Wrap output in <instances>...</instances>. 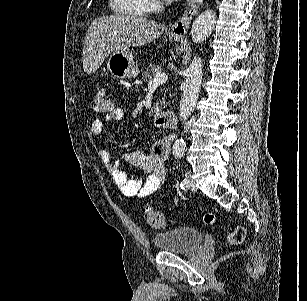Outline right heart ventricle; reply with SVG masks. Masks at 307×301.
Wrapping results in <instances>:
<instances>
[{
	"instance_id": "right-heart-ventricle-1",
	"label": "right heart ventricle",
	"mask_w": 307,
	"mask_h": 301,
	"mask_svg": "<svg viewBox=\"0 0 307 301\" xmlns=\"http://www.w3.org/2000/svg\"><path fill=\"white\" fill-rule=\"evenodd\" d=\"M110 4L119 17H140V8H146V0H110Z\"/></svg>"
}]
</instances>
